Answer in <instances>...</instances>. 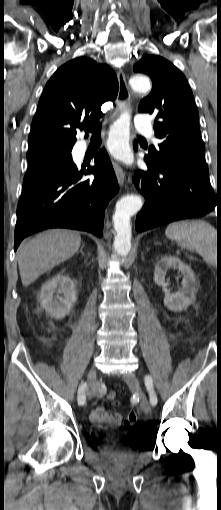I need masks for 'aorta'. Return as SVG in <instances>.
I'll return each instance as SVG.
<instances>
[{
    "instance_id": "obj_1",
    "label": "aorta",
    "mask_w": 221,
    "mask_h": 510,
    "mask_svg": "<svg viewBox=\"0 0 221 510\" xmlns=\"http://www.w3.org/2000/svg\"><path fill=\"white\" fill-rule=\"evenodd\" d=\"M129 82L132 89L136 92H147L150 89V81L146 76L134 75ZM130 118V112L124 111L112 125L108 139V148L111 154L126 165H131L134 161L129 145ZM142 206L141 197L134 194L126 195L116 203L113 215L116 232L114 250L121 256H127L131 249L132 229L130 219Z\"/></svg>"
}]
</instances>
